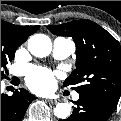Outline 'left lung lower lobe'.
Listing matches in <instances>:
<instances>
[{"instance_id": "1", "label": "left lung lower lobe", "mask_w": 121, "mask_h": 121, "mask_svg": "<svg viewBox=\"0 0 121 121\" xmlns=\"http://www.w3.org/2000/svg\"><path fill=\"white\" fill-rule=\"evenodd\" d=\"M72 115L59 121H107L115 108L103 100L88 94H79Z\"/></svg>"}]
</instances>
